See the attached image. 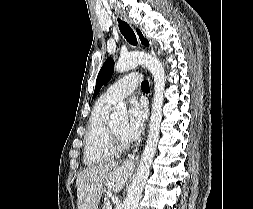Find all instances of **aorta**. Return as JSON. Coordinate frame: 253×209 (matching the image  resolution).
<instances>
[{"label":"aorta","mask_w":253,"mask_h":209,"mask_svg":"<svg viewBox=\"0 0 253 209\" xmlns=\"http://www.w3.org/2000/svg\"><path fill=\"white\" fill-rule=\"evenodd\" d=\"M138 65L146 66L154 77V98L149 124V133L141 160L133 181L128 189L127 197L123 203V209H137L142 192L149 176L160 134L162 120V106L164 100L165 71L163 65L156 57L143 52H132L119 58L115 64L117 73L127 72ZM127 115L124 105H118L112 114V120L123 119Z\"/></svg>","instance_id":"obj_1"}]
</instances>
